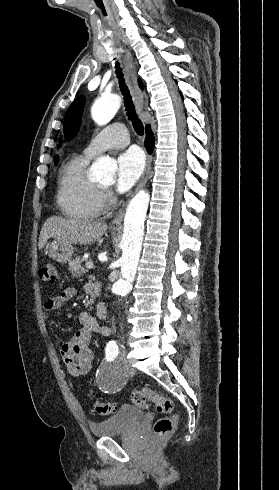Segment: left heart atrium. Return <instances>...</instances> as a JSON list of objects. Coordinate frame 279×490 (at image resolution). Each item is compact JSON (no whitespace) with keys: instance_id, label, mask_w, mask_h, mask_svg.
<instances>
[{"instance_id":"39dd6f15","label":"left heart atrium","mask_w":279,"mask_h":490,"mask_svg":"<svg viewBox=\"0 0 279 490\" xmlns=\"http://www.w3.org/2000/svg\"><path fill=\"white\" fill-rule=\"evenodd\" d=\"M144 170L142 154L131 149L121 154L117 159L116 191L125 193L140 179Z\"/></svg>"}]
</instances>
